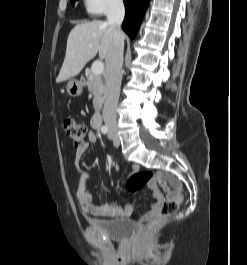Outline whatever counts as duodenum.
Wrapping results in <instances>:
<instances>
[{"label": "duodenum", "mask_w": 247, "mask_h": 265, "mask_svg": "<svg viewBox=\"0 0 247 265\" xmlns=\"http://www.w3.org/2000/svg\"><path fill=\"white\" fill-rule=\"evenodd\" d=\"M92 124L95 130H99L102 124V115L101 114L95 115Z\"/></svg>", "instance_id": "obj_1"}]
</instances>
